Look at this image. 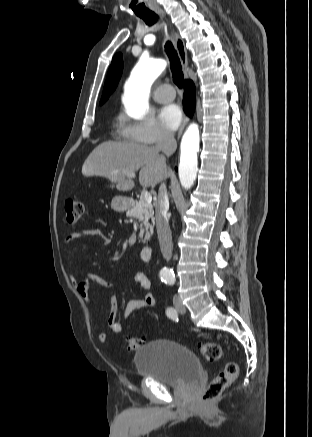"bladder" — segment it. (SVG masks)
I'll return each mask as SVG.
<instances>
[{
  "instance_id": "1",
  "label": "bladder",
  "mask_w": 312,
  "mask_h": 437,
  "mask_svg": "<svg viewBox=\"0 0 312 437\" xmlns=\"http://www.w3.org/2000/svg\"><path fill=\"white\" fill-rule=\"evenodd\" d=\"M134 365L138 375L169 385L181 384L202 371L192 350L168 339H156L139 348Z\"/></svg>"
}]
</instances>
